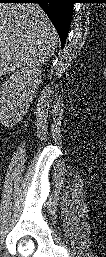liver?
<instances>
[{"label":"liver","mask_w":106,"mask_h":257,"mask_svg":"<svg viewBox=\"0 0 106 257\" xmlns=\"http://www.w3.org/2000/svg\"><path fill=\"white\" fill-rule=\"evenodd\" d=\"M57 33L38 4L0 5V74L44 64L54 53Z\"/></svg>","instance_id":"liver-1"}]
</instances>
